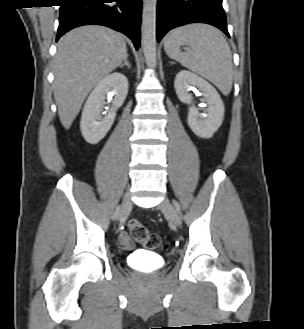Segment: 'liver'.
Returning a JSON list of instances; mask_svg holds the SVG:
<instances>
[{
    "mask_svg": "<svg viewBox=\"0 0 304 329\" xmlns=\"http://www.w3.org/2000/svg\"><path fill=\"white\" fill-rule=\"evenodd\" d=\"M123 35L98 25L66 33L54 57V97L60 121L69 129L88 93L127 56Z\"/></svg>",
    "mask_w": 304,
    "mask_h": 329,
    "instance_id": "1",
    "label": "liver"
}]
</instances>
